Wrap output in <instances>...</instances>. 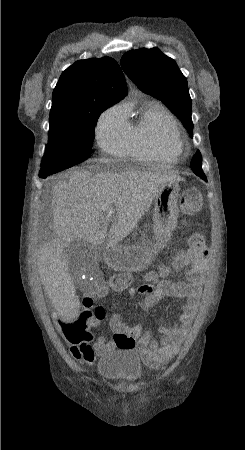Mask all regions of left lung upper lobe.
<instances>
[{"label":"left lung upper lobe","mask_w":245,"mask_h":450,"mask_svg":"<svg viewBox=\"0 0 245 450\" xmlns=\"http://www.w3.org/2000/svg\"><path fill=\"white\" fill-rule=\"evenodd\" d=\"M121 66L137 87L164 101L193 136L191 98L186 77L176 62L158 48L128 51L121 58ZM194 173L205 176L202 156L196 152L190 164Z\"/></svg>","instance_id":"obj_1"}]
</instances>
